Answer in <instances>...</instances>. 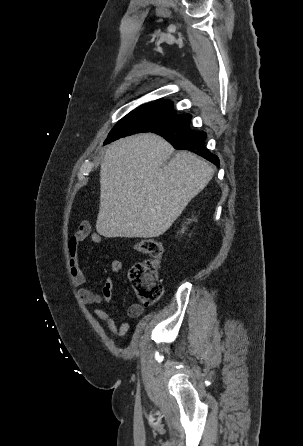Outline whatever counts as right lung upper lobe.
Listing matches in <instances>:
<instances>
[{
	"instance_id": "right-lung-upper-lobe-1",
	"label": "right lung upper lobe",
	"mask_w": 303,
	"mask_h": 446,
	"mask_svg": "<svg viewBox=\"0 0 303 446\" xmlns=\"http://www.w3.org/2000/svg\"><path fill=\"white\" fill-rule=\"evenodd\" d=\"M169 102L162 100L158 102H152L148 104L141 105L139 108L149 109V110H160L167 106Z\"/></svg>"
}]
</instances>
